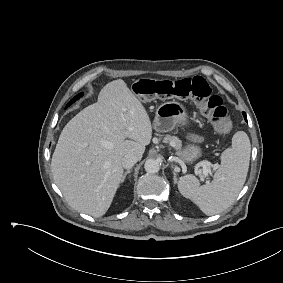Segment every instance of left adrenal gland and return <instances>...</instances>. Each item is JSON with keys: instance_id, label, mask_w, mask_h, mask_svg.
<instances>
[{"instance_id": "1", "label": "left adrenal gland", "mask_w": 283, "mask_h": 283, "mask_svg": "<svg viewBox=\"0 0 283 283\" xmlns=\"http://www.w3.org/2000/svg\"><path fill=\"white\" fill-rule=\"evenodd\" d=\"M173 174H174V183H176L177 182L176 173L173 172Z\"/></svg>"}]
</instances>
